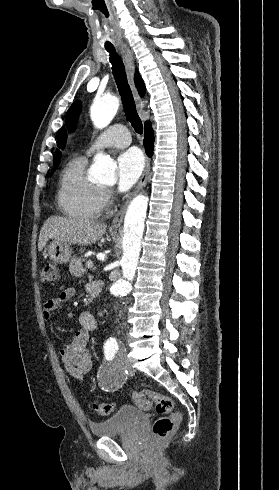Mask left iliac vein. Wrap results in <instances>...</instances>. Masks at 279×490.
I'll use <instances>...</instances> for the list:
<instances>
[{
  "label": "left iliac vein",
  "instance_id": "obj_1",
  "mask_svg": "<svg viewBox=\"0 0 279 490\" xmlns=\"http://www.w3.org/2000/svg\"><path fill=\"white\" fill-rule=\"evenodd\" d=\"M123 358L125 359L126 357L124 356ZM125 363H126V364H129V363H130V360H129V359H126V360H125Z\"/></svg>",
  "mask_w": 279,
  "mask_h": 490
}]
</instances>
